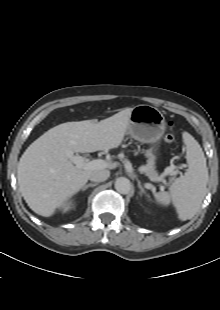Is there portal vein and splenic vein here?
Listing matches in <instances>:
<instances>
[{
  "label": "portal vein and splenic vein",
  "mask_w": 220,
  "mask_h": 310,
  "mask_svg": "<svg viewBox=\"0 0 220 310\" xmlns=\"http://www.w3.org/2000/svg\"><path fill=\"white\" fill-rule=\"evenodd\" d=\"M68 157L72 163H74L78 168H82L85 170H95V169H105L109 166V163L105 160L102 159H95V160H87L86 158L79 156V155H74L72 152L68 153ZM176 167L171 166L168 167L165 171L166 174L170 175H176L177 172L174 171ZM153 181H163L162 177H157L155 179H152Z\"/></svg>",
  "instance_id": "obj_1"
}]
</instances>
